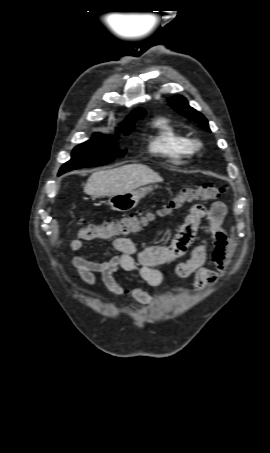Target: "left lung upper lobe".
Wrapping results in <instances>:
<instances>
[{
    "mask_svg": "<svg viewBox=\"0 0 270 453\" xmlns=\"http://www.w3.org/2000/svg\"><path fill=\"white\" fill-rule=\"evenodd\" d=\"M169 104L181 115L185 116L188 119H191L200 125H202L206 130L210 132L209 126H208V121L206 118L190 107L184 97L177 96L168 99Z\"/></svg>",
    "mask_w": 270,
    "mask_h": 453,
    "instance_id": "1",
    "label": "left lung upper lobe"
}]
</instances>
